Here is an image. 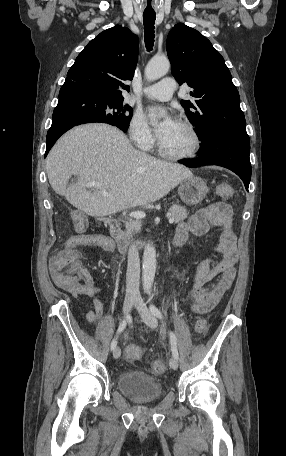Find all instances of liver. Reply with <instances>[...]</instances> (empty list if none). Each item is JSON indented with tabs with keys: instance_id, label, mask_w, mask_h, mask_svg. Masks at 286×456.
<instances>
[{
	"instance_id": "6515ba94",
	"label": "liver",
	"mask_w": 286,
	"mask_h": 456,
	"mask_svg": "<svg viewBox=\"0 0 286 456\" xmlns=\"http://www.w3.org/2000/svg\"><path fill=\"white\" fill-rule=\"evenodd\" d=\"M52 189L93 217L155 202L193 177L186 167L136 150L122 131L107 124L77 126L52 147L46 160ZM72 175L76 183L68 185ZM89 182L104 191L87 190Z\"/></svg>"
}]
</instances>
